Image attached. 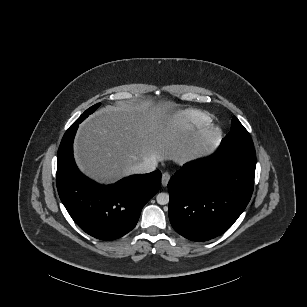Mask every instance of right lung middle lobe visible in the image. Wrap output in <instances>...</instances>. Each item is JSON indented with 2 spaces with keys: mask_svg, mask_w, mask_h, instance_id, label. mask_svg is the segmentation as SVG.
<instances>
[{
  "mask_svg": "<svg viewBox=\"0 0 307 307\" xmlns=\"http://www.w3.org/2000/svg\"><path fill=\"white\" fill-rule=\"evenodd\" d=\"M100 106V103L93 105L89 109H87L81 116L80 118L84 120L85 118L88 117V115L92 114L98 107Z\"/></svg>",
  "mask_w": 307,
  "mask_h": 307,
  "instance_id": "dd1d6c3e",
  "label": "right lung middle lobe"
}]
</instances>
